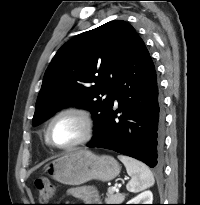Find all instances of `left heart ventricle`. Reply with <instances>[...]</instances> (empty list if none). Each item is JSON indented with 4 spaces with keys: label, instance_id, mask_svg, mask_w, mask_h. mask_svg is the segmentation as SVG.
Returning a JSON list of instances; mask_svg holds the SVG:
<instances>
[{
    "label": "left heart ventricle",
    "instance_id": "b2bd125f",
    "mask_svg": "<svg viewBox=\"0 0 200 205\" xmlns=\"http://www.w3.org/2000/svg\"><path fill=\"white\" fill-rule=\"evenodd\" d=\"M82 132L83 126L80 120L75 116L67 115L54 123L51 135L55 143L67 145L79 139Z\"/></svg>",
    "mask_w": 200,
    "mask_h": 205
}]
</instances>
